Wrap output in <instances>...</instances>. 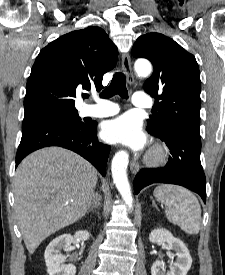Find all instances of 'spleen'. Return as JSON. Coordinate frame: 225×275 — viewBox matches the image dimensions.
Masks as SVG:
<instances>
[{
	"label": "spleen",
	"instance_id": "spleen-1",
	"mask_svg": "<svg viewBox=\"0 0 225 275\" xmlns=\"http://www.w3.org/2000/svg\"><path fill=\"white\" fill-rule=\"evenodd\" d=\"M154 196L166 207L169 222L187 234H197L201 226V207L192 192L181 186L163 184L154 190Z\"/></svg>",
	"mask_w": 225,
	"mask_h": 275
}]
</instances>
